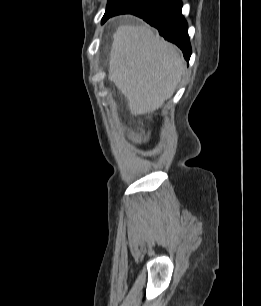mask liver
<instances>
[{"instance_id":"obj_1","label":"liver","mask_w":261,"mask_h":306,"mask_svg":"<svg viewBox=\"0 0 261 306\" xmlns=\"http://www.w3.org/2000/svg\"><path fill=\"white\" fill-rule=\"evenodd\" d=\"M185 71L179 50L145 25L118 27L113 34L108 78L132 115L151 113L170 99Z\"/></svg>"}]
</instances>
